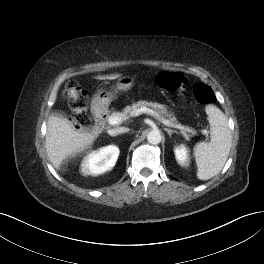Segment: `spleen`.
I'll list each match as a JSON object with an SVG mask.
<instances>
[{
    "label": "spleen",
    "mask_w": 264,
    "mask_h": 264,
    "mask_svg": "<svg viewBox=\"0 0 264 264\" xmlns=\"http://www.w3.org/2000/svg\"><path fill=\"white\" fill-rule=\"evenodd\" d=\"M206 114L210 124L211 141L200 142L194 147L197 178L209 180L224 167L231 149L232 136L225 114L216 106L208 105Z\"/></svg>",
    "instance_id": "3e777b00"
}]
</instances>
